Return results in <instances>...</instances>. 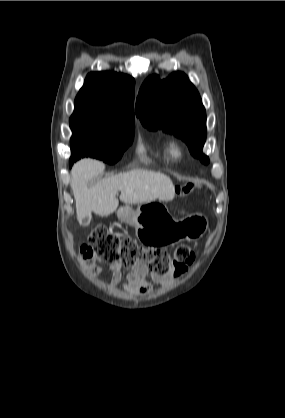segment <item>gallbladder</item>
I'll return each mask as SVG.
<instances>
[{
	"mask_svg": "<svg viewBox=\"0 0 285 418\" xmlns=\"http://www.w3.org/2000/svg\"><path fill=\"white\" fill-rule=\"evenodd\" d=\"M91 221V215H86L85 217L82 218V220L80 221V224L82 226H87Z\"/></svg>",
	"mask_w": 285,
	"mask_h": 418,
	"instance_id": "obj_1",
	"label": "gallbladder"
}]
</instances>
